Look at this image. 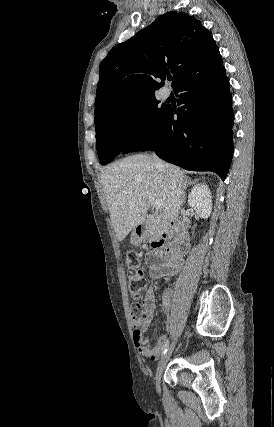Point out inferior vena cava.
Segmentation results:
<instances>
[{"mask_svg": "<svg viewBox=\"0 0 274 427\" xmlns=\"http://www.w3.org/2000/svg\"><path fill=\"white\" fill-rule=\"evenodd\" d=\"M152 158L156 168H164V162H162V160H160L156 154H152Z\"/></svg>", "mask_w": 274, "mask_h": 427, "instance_id": "obj_1", "label": "inferior vena cava"}]
</instances>
